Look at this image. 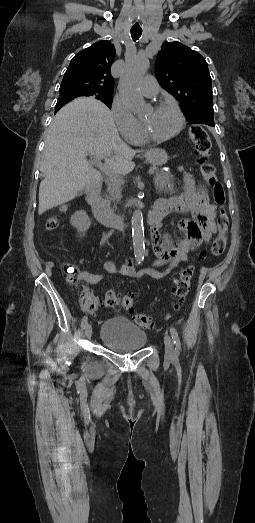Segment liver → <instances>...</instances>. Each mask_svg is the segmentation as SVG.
<instances>
[{
    "label": "liver",
    "mask_w": 255,
    "mask_h": 523,
    "mask_svg": "<svg viewBox=\"0 0 255 523\" xmlns=\"http://www.w3.org/2000/svg\"><path fill=\"white\" fill-rule=\"evenodd\" d=\"M87 152L106 158L114 174L125 176L135 168L136 152L119 138L109 108L94 98H78L57 112L46 132L39 216L74 200L91 180L99 178L85 158ZM110 154L114 156L107 158Z\"/></svg>",
    "instance_id": "liver-1"
}]
</instances>
